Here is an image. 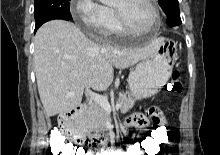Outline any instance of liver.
Returning a JSON list of instances; mask_svg holds the SVG:
<instances>
[{"instance_id": "liver-1", "label": "liver", "mask_w": 220, "mask_h": 155, "mask_svg": "<svg viewBox=\"0 0 220 155\" xmlns=\"http://www.w3.org/2000/svg\"><path fill=\"white\" fill-rule=\"evenodd\" d=\"M34 65L38 92L47 117L80 105L84 86L106 90L114 67L128 68L152 55L159 39L140 49H118L89 40L73 23L51 20L35 35ZM73 92L74 95L67 96Z\"/></svg>"}]
</instances>
